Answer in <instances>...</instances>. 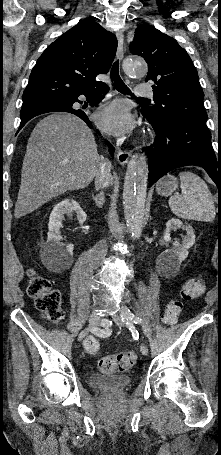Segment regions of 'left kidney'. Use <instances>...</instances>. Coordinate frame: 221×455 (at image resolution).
<instances>
[{
	"label": "left kidney",
	"mask_w": 221,
	"mask_h": 455,
	"mask_svg": "<svg viewBox=\"0 0 221 455\" xmlns=\"http://www.w3.org/2000/svg\"><path fill=\"white\" fill-rule=\"evenodd\" d=\"M180 228L186 231V236L182 243L175 241L172 249H167L158 256V262L165 269H178L181 262L188 256V249L195 243V233L192 226L183 225L179 219L172 218L166 223V230L163 236L165 244L167 245L171 241L170 232Z\"/></svg>",
	"instance_id": "5707ae66"
}]
</instances>
